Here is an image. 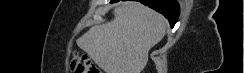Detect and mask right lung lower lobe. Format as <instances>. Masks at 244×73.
Returning <instances> with one entry per match:
<instances>
[{
	"mask_svg": "<svg viewBox=\"0 0 244 73\" xmlns=\"http://www.w3.org/2000/svg\"><path fill=\"white\" fill-rule=\"evenodd\" d=\"M119 0H111V2H117ZM126 1V0H122ZM139 1L150 8L163 14L170 22L171 27L175 25L179 17V5L176 0H134Z\"/></svg>",
	"mask_w": 244,
	"mask_h": 73,
	"instance_id": "right-lung-lower-lobe-1",
	"label": "right lung lower lobe"
}]
</instances>
